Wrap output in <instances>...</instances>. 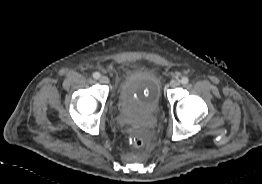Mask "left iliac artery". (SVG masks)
<instances>
[{"label": "left iliac artery", "instance_id": "44dca946", "mask_svg": "<svg viewBox=\"0 0 262 184\" xmlns=\"http://www.w3.org/2000/svg\"><path fill=\"white\" fill-rule=\"evenodd\" d=\"M188 82H189V79L187 78V77H183L182 79H181V83L182 84H188Z\"/></svg>", "mask_w": 262, "mask_h": 184}]
</instances>
